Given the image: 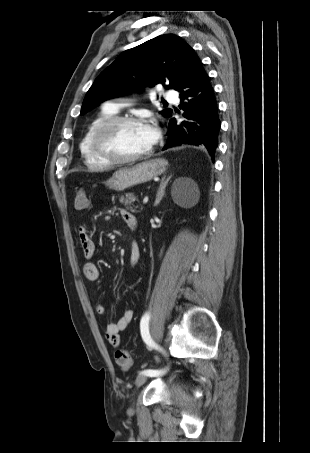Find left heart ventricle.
I'll use <instances>...</instances> for the list:
<instances>
[{
    "label": "left heart ventricle",
    "mask_w": 310,
    "mask_h": 453,
    "mask_svg": "<svg viewBox=\"0 0 310 453\" xmlns=\"http://www.w3.org/2000/svg\"><path fill=\"white\" fill-rule=\"evenodd\" d=\"M151 147L142 124H126L118 127L108 138L107 148L120 157H130Z\"/></svg>",
    "instance_id": "b2bd125f"
}]
</instances>
